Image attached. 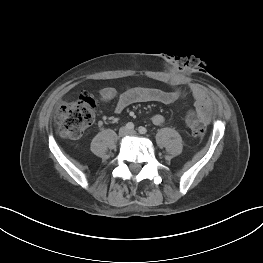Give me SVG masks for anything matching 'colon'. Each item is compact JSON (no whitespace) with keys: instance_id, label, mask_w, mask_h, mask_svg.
Masks as SVG:
<instances>
[{"instance_id":"obj_1","label":"colon","mask_w":263,"mask_h":263,"mask_svg":"<svg viewBox=\"0 0 263 263\" xmlns=\"http://www.w3.org/2000/svg\"><path fill=\"white\" fill-rule=\"evenodd\" d=\"M180 96L183 92L179 90ZM96 103L88 95H82L76 102L61 106L55 114V121L58 125L59 134L63 138H79L85 129L89 127L95 119ZM186 124L191 133L198 138H202L206 132L205 122L193 111L186 114Z\"/></svg>"}]
</instances>
